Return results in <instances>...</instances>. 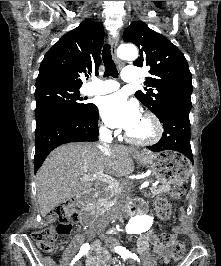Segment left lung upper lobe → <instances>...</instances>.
<instances>
[{
  "mask_svg": "<svg viewBox=\"0 0 221 266\" xmlns=\"http://www.w3.org/2000/svg\"><path fill=\"white\" fill-rule=\"evenodd\" d=\"M125 42L137 45L140 56L134 65L148 66L149 89L137 91L136 98L159 120L173 109L190 111L192 82L188 62L183 53L163 35L151 30L144 22L130 24L123 33Z\"/></svg>",
  "mask_w": 221,
  "mask_h": 266,
  "instance_id": "1",
  "label": "left lung upper lobe"
}]
</instances>
